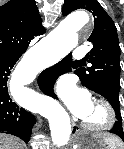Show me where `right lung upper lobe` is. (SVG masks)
<instances>
[{
    "label": "right lung upper lobe",
    "instance_id": "obj_1",
    "mask_svg": "<svg viewBox=\"0 0 124 149\" xmlns=\"http://www.w3.org/2000/svg\"><path fill=\"white\" fill-rule=\"evenodd\" d=\"M35 0H10L0 6V56L22 54L45 33Z\"/></svg>",
    "mask_w": 124,
    "mask_h": 149
}]
</instances>
